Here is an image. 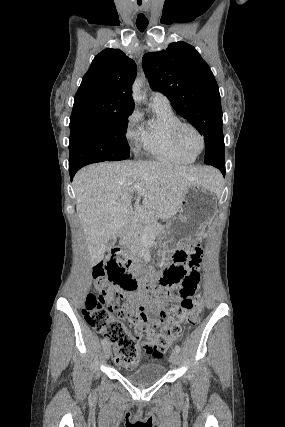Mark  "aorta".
Returning <instances> with one entry per match:
<instances>
[{
    "instance_id": "762f6f07",
    "label": "aorta",
    "mask_w": 285,
    "mask_h": 427,
    "mask_svg": "<svg viewBox=\"0 0 285 427\" xmlns=\"http://www.w3.org/2000/svg\"><path fill=\"white\" fill-rule=\"evenodd\" d=\"M141 87H142V80L141 79L135 80L132 87V96L134 101L136 102H141L145 99V96L141 93Z\"/></svg>"
}]
</instances>
